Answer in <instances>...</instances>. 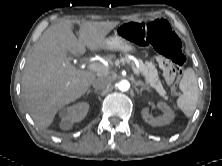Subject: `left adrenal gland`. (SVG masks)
Listing matches in <instances>:
<instances>
[{
	"label": "left adrenal gland",
	"mask_w": 222,
	"mask_h": 166,
	"mask_svg": "<svg viewBox=\"0 0 222 166\" xmlns=\"http://www.w3.org/2000/svg\"><path fill=\"white\" fill-rule=\"evenodd\" d=\"M134 84H135L136 86H145V87L149 88V87L147 86V84L143 83L142 81H135V80H134Z\"/></svg>",
	"instance_id": "1"
}]
</instances>
